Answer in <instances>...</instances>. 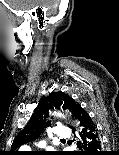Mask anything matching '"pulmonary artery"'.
<instances>
[{"instance_id": "obj_1", "label": "pulmonary artery", "mask_w": 119, "mask_h": 155, "mask_svg": "<svg viewBox=\"0 0 119 155\" xmlns=\"http://www.w3.org/2000/svg\"><path fill=\"white\" fill-rule=\"evenodd\" d=\"M70 136V132L66 127H58L56 129V138L57 139H67Z\"/></svg>"}]
</instances>
